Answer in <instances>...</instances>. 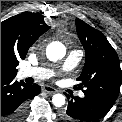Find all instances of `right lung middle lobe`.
I'll return each instance as SVG.
<instances>
[{"label": "right lung middle lobe", "mask_w": 122, "mask_h": 122, "mask_svg": "<svg viewBox=\"0 0 122 122\" xmlns=\"http://www.w3.org/2000/svg\"><path fill=\"white\" fill-rule=\"evenodd\" d=\"M16 73H17L16 65L7 61L1 62V76L15 77Z\"/></svg>", "instance_id": "right-lung-middle-lobe-1"}]
</instances>
